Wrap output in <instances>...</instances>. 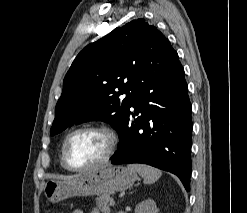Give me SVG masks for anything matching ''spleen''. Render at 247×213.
Instances as JSON below:
<instances>
[{
	"label": "spleen",
	"instance_id": "1",
	"mask_svg": "<svg viewBox=\"0 0 247 213\" xmlns=\"http://www.w3.org/2000/svg\"><path fill=\"white\" fill-rule=\"evenodd\" d=\"M128 169L137 172L146 184H153L162 175V172L154 167L144 164H129Z\"/></svg>",
	"mask_w": 247,
	"mask_h": 213
}]
</instances>
